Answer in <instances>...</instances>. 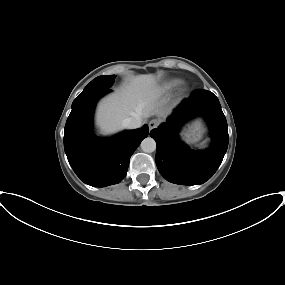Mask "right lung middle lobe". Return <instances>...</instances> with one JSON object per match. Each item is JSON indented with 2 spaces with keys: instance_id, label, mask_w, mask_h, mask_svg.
<instances>
[{
  "instance_id": "right-lung-middle-lobe-1",
  "label": "right lung middle lobe",
  "mask_w": 285,
  "mask_h": 285,
  "mask_svg": "<svg viewBox=\"0 0 285 285\" xmlns=\"http://www.w3.org/2000/svg\"><path fill=\"white\" fill-rule=\"evenodd\" d=\"M115 75H108V76H99L96 77L94 80H92L83 90V92L75 99L86 95L91 94L100 90H103L105 88H109L113 83L115 79ZM74 100V101H75Z\"/></svg>"
}]
</instances>
